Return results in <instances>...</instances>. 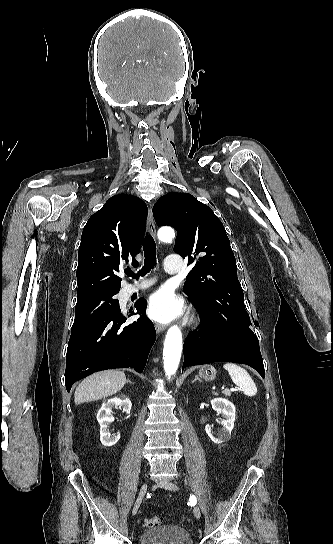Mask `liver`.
I'll return each instance as SVG.
<instances>
[{
    "label": "liver",
    "instance_id": "obj_1",
    "mask_svg": "<svg viewBox=\"0 0 333 544\" xmlns=\"http://www.w3.org/2000/svg\"><path fill=\"white\" fill-rule=\"evenodd\" d=\"M126 382L124 372L118 370H106L92 374L76 388L75 404L111 396L121 390Z\"/></svg>",
    "mask_w": 333,
    "mask_h": 544
}]
</instances>
